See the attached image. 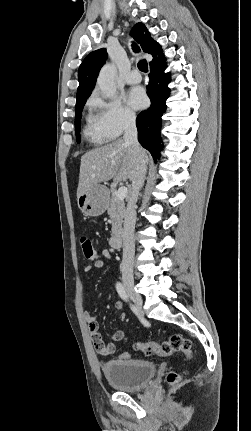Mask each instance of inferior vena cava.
Wrapping results in <instances>:
<instances>
[{"instance_id":"obj_1","label":"inferior vena cava","mask_w":251,"mask_h":431,"mask_svg":"<svg viewBox=\"0 0 251 431\" xmlns=\"http://www.w3.org/2000/svg\"><path fill=\"white\" fill-rule=\"evenodd\" d=\"M123 139L130 144L135 152L136 171L132 178V193L128 201L124 227H123V258H122V277L123 279H133V263L135 254L134 229L136 223V203L140 189L144 185L147 163L139 154L142 148L137 139V127L135 116H129L125 123Z\"/></svg>"}]
</instances>
